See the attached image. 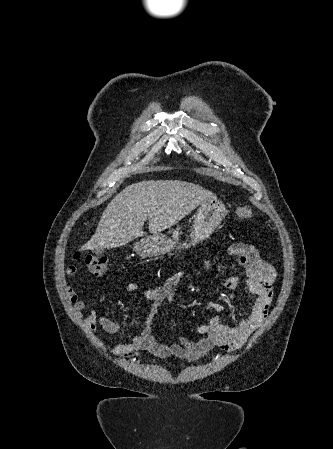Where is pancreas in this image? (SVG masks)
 <instances>
[{"instance_id":"cf45deb5","label":"pancreas","mask_w":333,"mask_h":449,"mask_svg":"<svg viewBox=\"0 0 333 449\" xmlns=\"http://www.w3.org/2000/svg\"><path fill=\"white\" fill-rule=\"evenodd\" d=\"M177 236H178L177 233L174 232V233H173V237H174V238H177Z\"/></svg>"}]
</instances>
